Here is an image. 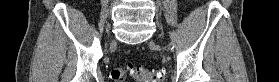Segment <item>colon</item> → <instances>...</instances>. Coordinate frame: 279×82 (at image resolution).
Returning <instances> with one entry per match:
<instances>
[{
  "instance_id": "colon-1",
  "label": "colon",
  "mask_w": 279,
  "mask_h": 82,
  "mask_svg": "<svg viewBox=\"0 0 279 82\" xmlns=\"http://www.w3.org/2000/svg\"><path fill=\"white\" fill-rule=\"evenodd\" d=\"M128 73H131L138 82H161L164 77V70H149L141 67H131L128 70L117 67L111 71V78L114 82H125L128 79Z\"/></svg>"
}]
</instances>
